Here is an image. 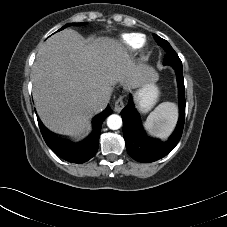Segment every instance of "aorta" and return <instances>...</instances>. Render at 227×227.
I'll return each mask as SVG.
<instances>
[{"label": "aorta", "mask_w": 227, "mask_h": 227, "mask_svg": "<svg viewBox=\"0 0 227 227\" xmlns=\"http://www.w3.org/2000/svg\"><path fill=\"white\" fill-rule=\"evenodd\" d=\"M107 126L111 130H117L122 126V118L117 114H112L107 118Z\"/></svg>", "instance_id": "obj_1"}]
</instances>
